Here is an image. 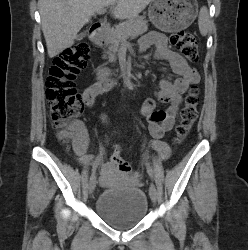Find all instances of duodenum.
I'll use <instances>...</instances> for the list:
<instances>
[{"mask_svg":"<svg viewBox=\"0 0 248 250\" xmlns=\"http://www.w3.org/2000/svg\"><path fill=\"white\" fill-rule=\"evenodd\" d=\"M105 25L102 22L93 23L89 28V37L91 41L102 44L101 32L103 31Z\"/></svg>","mask_w":248,"mask_h":250,"instance_id":"1","label":"duodenum"}]
</instances>
